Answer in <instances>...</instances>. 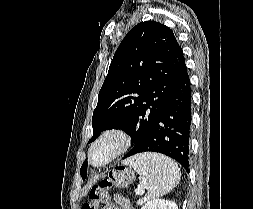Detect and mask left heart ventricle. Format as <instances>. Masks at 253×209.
Segmentation results:
<instances>
[{
	"label": "left heart ventricle",
	"instance_id": "1",
	"mask_svg": "<svg viewBox=\"0 0 253 209\" xmlns=\"http://www.w3.org/2000/svg\"><path fill=\"white\" fill-rule=\"evenodd\" d=\"M117 141L114 138H109L98 145L93 153L92 160L95 164L103 162L116 148Z\"/></svg>",
	"mask_w": 253,
	"mask_h": 209
}]
</instances>
